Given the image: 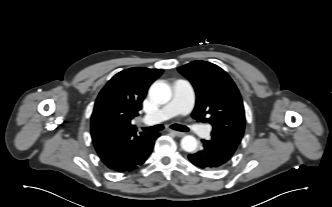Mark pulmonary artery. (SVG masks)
<instances>
[{
    "label": "pulmonary artery",
    "mask_w": 332,
    "mask_h": 207,
    "mask_svg": "<svg viewBox=\"0 0 332 207\" xmlns=\"http://www.w3.org/2000/svg\"><path fill=\"white\" fill-rule=\"evenodd\" d=\"M172 88L171 101L160 110L145 115L143 120L146 124H157L176 115H186L193 109L195 95L192 85L186 80L177 79ZM192 130L202 137H207L210 133V126L194 125Z\"/></svg>",
    "instance_id": "e3ab8cb5"
}]
</instances>
